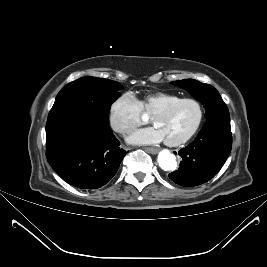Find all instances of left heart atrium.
<instances>
[{
	"label": "left heart atrium",
	"mask_w": 267,
	"mask_h": 267,
	"mask_svg": "<svg viewBox=\"0 0 267 267\" xmlns=\"http://www.w3.org/2000/svg\"><path fill=\"white\" fill-rule=\"evenodd\" d=\"M128 140L135 144H154L164 140V136L162 132L154 126L135 131Z\"/></svg>",
	"instance_id": "1"
}]
</instances>
